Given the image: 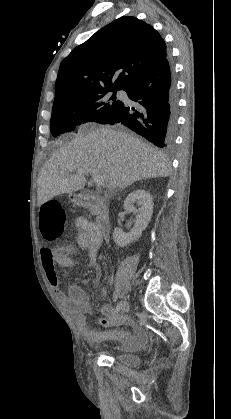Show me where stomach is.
I'll list each match as a JSON object with an SVG mask.
<instances>
[{
  "instance_id": "stomach-1",
  "label": "stomach",
  "mask_w": 231,
  "mask_h": 419,
  "mask_svg": "<svg viewBox=\"0 0 231 419\" xmlns=\"http://www.w3.org/2000/svg\"><path fill=\"white\" fill-rule=\"evenodd\" d=\"M69 198L72 202L77 203L78 202V196L74 194H70Z\"/></svg>"
}]
</instances>
